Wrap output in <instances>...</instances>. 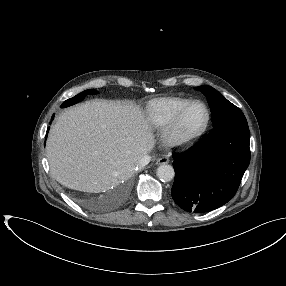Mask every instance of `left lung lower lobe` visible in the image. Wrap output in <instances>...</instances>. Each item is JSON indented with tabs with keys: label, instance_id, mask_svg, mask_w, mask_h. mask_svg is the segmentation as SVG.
Returning <instances> with one entry per match:
<instances>
[{
	"label": "left lung lower lobe",
	"instance_id": "obj_1",
	"mask_svg": "<svg viewBox=\"0 0 286 286\" xmlns=\"http://www.w3.org/2000/svg\"><path fill=\"white\" fill-rule=\"evenodd\" d=\"M248 124H225L183 153L173 154L171 195L184 210L212 211L230 201L250 162Z\"/></svg>",
	"mask_w": 286,
	"mask_h": 286
}]
</instances>
